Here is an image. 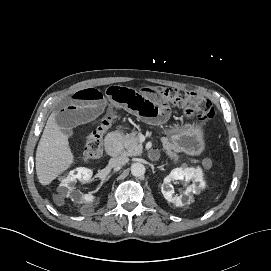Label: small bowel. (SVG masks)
<instances>
[{"label":"small bowel","instance_id":"c3829d8e","mask_svg":"<svg viewBox=\"0 0 271 271\" xmlns=\"http://www.w3.org/2000/svg\"><path fill=\"white\" fill-rule=\"evenodd\" d=\"M110 107L135 115L150 124H162L170 116V109L157 90L144 87L140 90L110 86L102 92L95 88L76 91L48 121V131L59 132L67 139L75 129L100 119Z\"/></svg>","mask_w":271,"mask_h":271}]
</instances>
